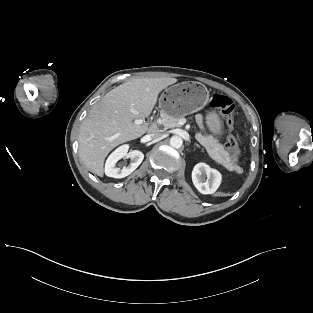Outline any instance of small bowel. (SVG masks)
Returning a JSON list of instances; mask_svg holds the SVG:
<instances>
[{"mask_svg":"<svg viewBox=\"0 0 313 313\" xmlns=\"http://www.w3.org/2000/svg\"><path fill=\"white\" fill-rule=\"evenodd\" d=\"M197 121H198V123H199L201 126L203 125L204 120H203V117H202V116H198V117H197Z\"/></svg>","mask_w":313,"mask_h":313,"instance_id":"c3829d8e","label":"small bowel"}]
</instances>
